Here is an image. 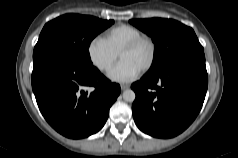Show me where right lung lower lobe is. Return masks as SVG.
<instances>
[{
    "label": "right lung lower lobe",
    "instance_id": "obj_1",
    "mask_svg": "<svg viewBox=\"0 0 238 158\" xmlns=\"http://www.w3.org/2000/svg\"><path fill=\"white\" fill-rule=\"evenodd\" d=\"M32 89L46 121L72 139L88 137L105 124L120 94L94 66L80 64L56 50L33 57ZM87 87L94 90L88 92Z\"/></svg>",
    "mask_w": 238,
    "mask_h": 158
}]
</instances>
